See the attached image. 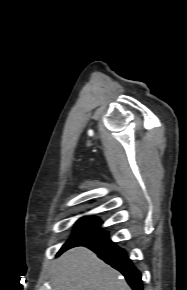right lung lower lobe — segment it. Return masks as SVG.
Segmentation results:
<instances>
[{"instance_id": "98d812e1", "label": "right lung lower lobe", "mask_w": 187, "mask_h": 290, "mask_svg": "<svg viewBox=\"0 0 187 290\" xmlns=\"http://www.w3.org/2000/svg\"><path fill=\"white\" fill-rule=\"evenodd\" d=\"M75 246H85L90 248L98 254V257L115 269L119 270L124 275L133 290H143L141 273L135 268L131 260L127 257L126 252L117 247L116 244L113 243L107 236Z\"/></svg>"}]
</instances>
